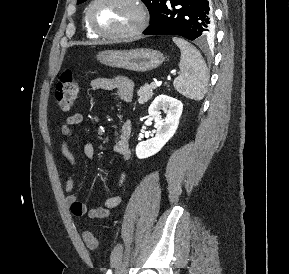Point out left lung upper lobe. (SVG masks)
<instances>
[{
    "label": "left lung upper lobe",
    "instance_id": "1",
    "mask_svg": "<svg viewBox=\"0 0 289 274\" xmlns=\"http://www.w3.org/2000/svg\"><path fill=\"white\" fill-rule=\"evenodd\" d=\"M86 0H78L77 4L83 3ZM150 12V23H152L160 14L161 8L166 0H142Z\"/></svg>",
    "mask_w": 289,
    "mask_h": 274
}]
</instances>
